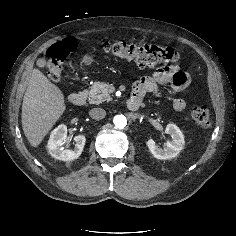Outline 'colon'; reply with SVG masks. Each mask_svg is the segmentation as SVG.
<instances>
[{
  "label": "colon",
  "mask_w": 236,
  "mask_h": 236,
  "mask_svg": "<svg viewBox=\"0 0 236 236\" xmlns=\"http://www.w3.org/2000/svg\"><path fill=\"white\" fill-rule=\"evenodd\" d=\"M101 50L116 58L135 62L139 67H151L156 64H176L180 56L171 47L157 44H136L127 42L103 41ZM77 42L69 38L51 46L46 52L47 74L50 80L58 82L68 55L75 50ZM193 120L201 127L211 125V112L206 106H197L192 110Z\"/></svg>",
  "instance_id": "obj_1"
}]
</instances>
